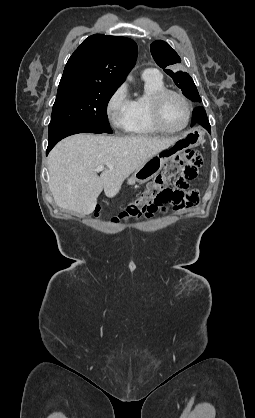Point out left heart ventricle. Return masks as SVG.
<instances>
[{"instance_id": "left-heart-ventricle-1", "label": "left heart ventricle", "mask_w": 255, "mask_h": 418, "mask_svg": "<svg viewBox=\"0 0 255 418\" xmlns=\"http://www.w3.org/2000/svg\"><path fill=\"white\" fill-rule=\"evenodd\" d=\"M187 116L186 106L183 101L175 96H168L162 106V119L164 124L169 128L181 127Z\"/></svg>"}]
</instances>
